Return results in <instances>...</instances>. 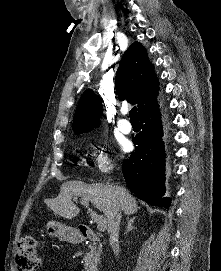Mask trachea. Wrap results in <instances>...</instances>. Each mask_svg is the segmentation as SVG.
I'll return each mask as SVG.
<instances>
[{"instance_id":"1","label":"trachea","mask_w":221,"mask_h":271,"mask_svg":"<svg viewBox=\"0 0 221 271\" xmlns=\"http://www.w3.org/2000/svg\"><path fill=\"white\" fill-rule=\"evenodd\" d=\"M129 113H130V120L131 121H139V117H138L136 106H133V108L130 110Z\"/></svg>"}]
</instances>
